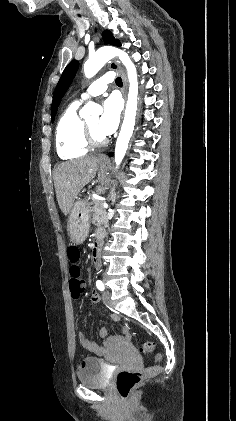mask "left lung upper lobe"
Returning a JSON list of instances; mask_svg holds the SVG:
<instances>
[{
	"mask_svg": "<svg viewBox=\"0 0 236 421\" xmlns=\"http://www.w3.org/2000/svg\"><path fill=\"white\" fill-rule=\"evenodd\" d=\"M103 39L108 44L115 45V46L121 45L120 41L118 39H115L112 33L108 30L103 32ZM78 65H79L78 61L73 60L66 66V68L64 69L62 73V76L57 84L54 97H53V102H52V107H51L52 122L54 121V118L57 112V107L61 101V98L63 97L64 93L70 86L76 74Z\"/></svg>",
	"mask_w": 236,
	"mask_h": 421,
	"instance_id": "5c2ea615",
	"label": "left lung upper lobe"
}]
</instances>
